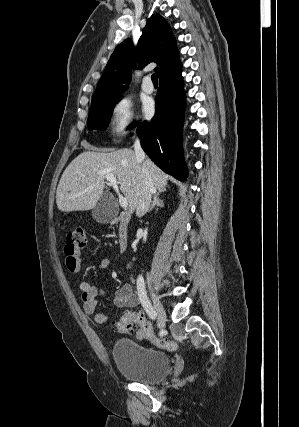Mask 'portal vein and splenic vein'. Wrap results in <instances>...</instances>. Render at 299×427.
<instances>
[{
    "instance_id": "18ae733b",
    "label": "portal vein and splenic vein",
    "mask_w": 299,
    "mask_h": 427,
    "mask_svg": "<svg viewBox=\"0 0 299 427\" xmlns=\"http://www.w3.org/2000/svg\"><path fill=\"white\" fill-rule=\"evenodd\" d=\"M104 174H105L106 180L108 181V184L111 185L114 188V190L116 191V193L118 194L120 206L122 208H127L128 201L122 194H120L119 189H118V185H117L118 182H117L116 177L110 173H104Z\"/></svg>"
}]
</instances>
